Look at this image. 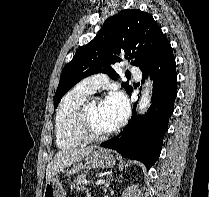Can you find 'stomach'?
<instances>
[{
  "instance_id": "obj_1",
  "label": "stomach",
  "mask_w": 209,
  "mask_h": 197,
  "mask_svg": "<svg viewBox=\"0 0 209 197\" xmlns=\"http://www.w3.org/2000/svg\"><path fill=\"white\" fill-rule=\"evenodd\" d=\"M115 162V158L109 150L99 148L98 150H94L84 162L74 164L65 173L70 176L85 168H111L115 165ZM65 195L62 184L57 177L46 182L43 197H66Z\"/></svg>"
}]
</instances>
